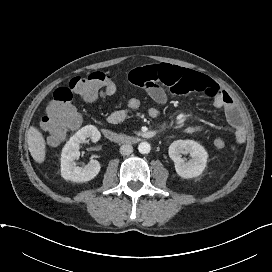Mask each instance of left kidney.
<instances>
[{"label": "left kidney", "mask_w": 272, "mask_h": 272, "mask_svg": "<svg viewBox=\"0 0 272 272\" xmlns=\"http://www.w3.org/2000/svg\"><path fill=\"white\" fill-rule=\"evenodd\" d=\"M169 157L174 161L175 170L182 178H193L202 174L208 159L205 148L193 140H177L169 146ZM183 153H190L188 162L182 158Z\"/></svg>", "instance_id": "1"}]
</instances>
